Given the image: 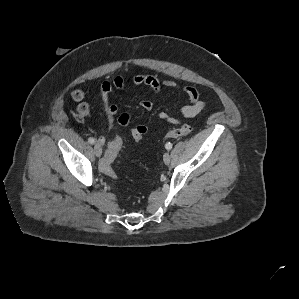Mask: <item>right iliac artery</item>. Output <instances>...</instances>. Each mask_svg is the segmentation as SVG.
Here are the masks:
<instances>
[{
  "label": "right iliac artery",
  "mask_w": 299,
  "mask_h": 299,
  "mask_svg": "<svg viewBox=\"0 0 299 299\" xmlns=\"http://www.w3.org/2000/svg\"><path fill=\"white\" fill-rule=\"evenodd\" d=\"M88 142H89L90 144H94V143H95V139L92 138V137H90V138L88 139Z\"/></svg>",
  "instance_id": "right-iliac-artery-1"
}]
</instances>
